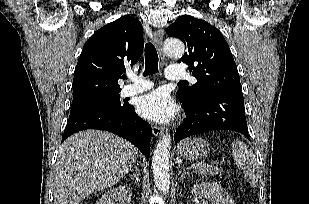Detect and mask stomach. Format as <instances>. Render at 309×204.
<instances>
[{
	"instance_id": "1",
	"label": "stomach",
	"mask_w": 309,
	"mask_h": 204,
	"mask_svg": "<svg viewBox=\"0 0 309 204\" xmlns=\"http://www.w3.org/2000/svg\"><path fill=\"white\" fill-rule=\"evenodd\" d=\"M177 155L184 159H199L210 151V145L202 138H187L177 145Z\"/></svg>"
}]
</instances>
